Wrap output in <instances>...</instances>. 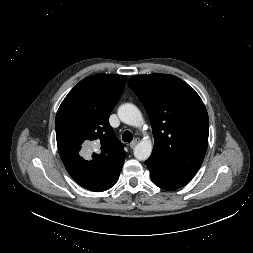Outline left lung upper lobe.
Masks as SVG:
<instances>
[{
  "label": "left lung upper lobe",
  "instance_id": "left-lung-upper-lobe-1",
  "mask_svg": "<svg viewBox=\"0 0 253 253\" xmlns=\"http://www.w3.org/2000/svg\"><path fill=\"white\" fill-rule=\"evenodd\" d=\"M128 85L150 118L155 140L150 158L194 176L204 160L209 133L199 95L176 76L160 73L132 77Z\"/></svg>",
  "mask_w": 253,
  "mask_h": 253
}]
</instances>
